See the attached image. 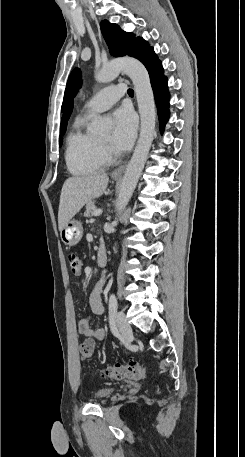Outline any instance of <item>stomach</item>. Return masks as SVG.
Returning <instances> with one entry per match:
<instances>
[{
    "mask_svg": "<svg viewBox=\"0 0 245 457\" xmlns=\"http://www.w3.org/2000/svg\"><path fill=\"white\" fill-rule=\"evenodd\" d=\"M83 235V226L79 220H68L64 229L60 231L61 241L66 247H74L81 241Z\"/></svg>",
    "mask_w": 245,
    "mask_h": 457,
    "instance_id": "1",
    "label": "stomach"
}]
</instances>
